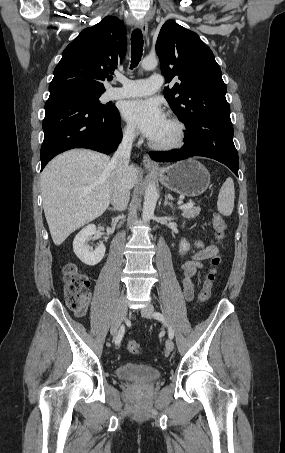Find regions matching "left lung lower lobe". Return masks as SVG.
Masks as SVG:
<instances>
[{"mask_svg":"<svg viewBox=\"0 0 285 453\" xmlns=\"http://www.w3.org/2000/svg\"><path fill=\"white\" fill-rule=\"evenodd\" d=\"M186 126L185 144L180 150L151 152L154 161L173 162L192 156L215 159L228 166L237 176L239 159L233 143V126L228 119H201Z\"/></svg>","mask_w":285,"mask_h":453,"instance_id":"1","label":"left lung lower lobe"}]
</instances>
